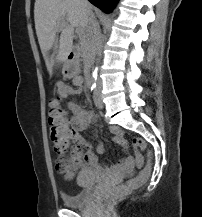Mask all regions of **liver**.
Returning <instances> with one entry per match:
<instances>
[{
	"label": "liver",
	"instance_id": "obj_1",
	"mask_svg": "<svg viewBox=\"0 0 202 217\" xmlns=\"http://www.w3.org/2000/svg\"><path fill=\"white\" fill-rule=\"evenodd\" d=\"M92 9V6L89 4ZM35 29L47 70L51 75L55 62L66 61L73 46V28L87 30V14L80 0H36ZM61 31L57 45L56 33ZM54 54L48 57V51Z\"/></svg>",
	"mask_w": 202,
	"mask_h": 217
}]
</instances>
